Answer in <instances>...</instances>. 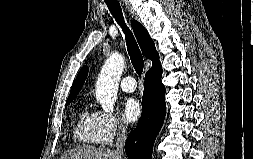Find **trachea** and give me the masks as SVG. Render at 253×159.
<instances>
[{
  "instance_id": "3493384b",
  "label": "trachea",
  "mask_w": 253,
  "mask_h": 159,
  "mask_svg": "<svg viewBox=\"0 0 253 159\" xmlns=\"http://www.w3.org/2000/svg\"><path fill=\"white\" fill-rule=\"evenodd\" d=\"M105 2L117 23L122 27L132 65L136 73L141 75L144 67L143 56L132 32L124 22L121 6L117 0H105Z\"/></svg>"
}]
</instances>
